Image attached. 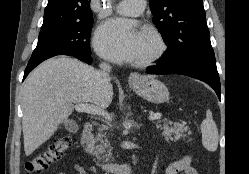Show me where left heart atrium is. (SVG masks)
<instances>
[{
  "mask_svg": "<svg viewBox=\"0 0 249 174\" xmlns=\"http://www.w3.org/2000/svg\"><path fill=\"white\" fill-rule=\"evenodd\" d=\"M138 31L124 19H111L96 32L94 45L103 57L128 62L135 59Z\"/></svg>",
  "mask_w": 249,
  "mask_h": 174,
  "instance_id": "obj_1",
  "label": "left heart atrium"
}]
</instances>
